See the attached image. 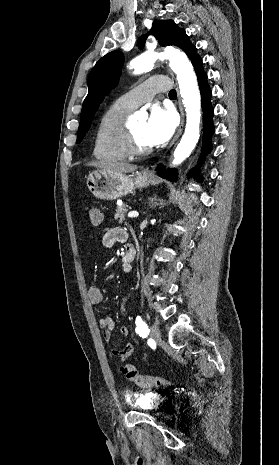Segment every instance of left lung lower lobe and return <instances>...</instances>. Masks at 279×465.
I'll return each instance as SVG.
<instances>
[{"label":"left lung lower lobe","instance_id":"1","mask_svg":"<svg viewBox=\"0 0 279 465\" xmlns=\"http://www.w3.org/2000/svg\"><path fill=\"white\" fill-rule=\"evenodd\" d=\"M194 70L197 75L198 84L200 88L201 98H202V109H203V144L202 152L200 155L199 161L202 162L207 153L212 149L211 145V136L214 133V126L212 123L213 117V107L211 106V90L208 86L207 75L203 70L202 59L198 57L193 63ZM157 173L160 177L166 178L171 181H175L177 178V171L175 169H166L163 165H158ZM190 176L195 174L194 171H191Z\"/></svg>","mask_w":279,"mask_h":465}]
</instances>
